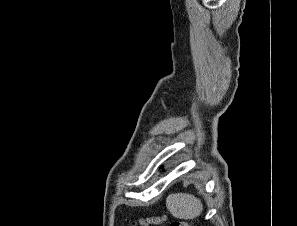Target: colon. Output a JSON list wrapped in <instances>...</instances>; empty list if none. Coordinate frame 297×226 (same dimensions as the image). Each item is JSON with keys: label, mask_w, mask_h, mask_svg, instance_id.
I'll list each match as a JSON object with an SVG mask.
<instances>
[{"label": "colon", "mask_w": 297, "mask_h": 226, "mask_svg": "<svg viewBox=\"0 0 297 226\" xmlns=\"http://www.w3.org/2000/svg\"><path fill=\"white\" fill-rule=\"evenodd\" d=\"M163 218L150 216L140 219L137 223H134L135 226H150L154 224L162 223ZM171 226H190L188 222L185 221H174L171 223Z\"/></svg>", "instance_id": "colon-1"}]
</instances>
